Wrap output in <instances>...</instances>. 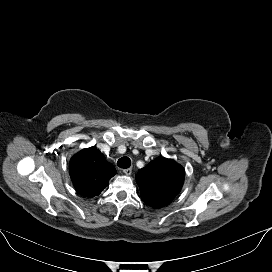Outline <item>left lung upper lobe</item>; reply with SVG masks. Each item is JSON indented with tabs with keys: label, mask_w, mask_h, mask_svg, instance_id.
<instances>
[{
	"label": "left lung upper lobe",
	"mask_w": 272,
	"mask_h": 272,
	"mask_svg": "<svg viewBox=\"0 0 272 272\" xmlns=\"http://www.w3.org/2000/svg\"><path fill=\"white\" fill-rule=\"evenodd\" d=\"M185 170L172 159L157 158L136 174L142 200L153 208L168 205L180 192Z\"/></svg>",
	"instance_id": "obj_1"
}]
</instances>
